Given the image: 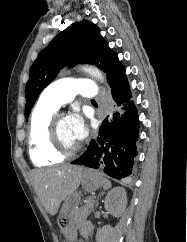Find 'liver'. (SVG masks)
Returning <instances> with one entry per match:
<instances>
[{
	"instance_id": "liver-1",
	"label": "liver",
	"mask_w": 187,
	"mask_h": 242,
	"mask_svg": "<svg viewBox=\"0 0 187 242\" xmlns=\"http://www.w3.org/2000/svg\"><path fill=\"white\" fill-rule=\"evenodd\" d=\"M82 173L83 167L77 165H63L33 171L34 190L50 215H56L60 203L76 191Z\"/></svg>"
}]
</instances>
